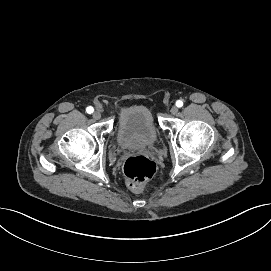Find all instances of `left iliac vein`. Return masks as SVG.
<instances>
[{
	"instance_id": "left-iliac-vein-1",
	"label": "left iliac vein",
	"mask_w": 271,
	"mask_h": 271,
	"mask_svg": "<svg viewBox=\"0 0 271 271\" xmlns=\"http://www.w3.org/2000/svg\"><path fill=\"white\" fill-rule=\"evenodd\" d=\"M178 107L177 106H172L171 108H170V112H171V114L172 115H175V114H177L178 113Z\"/></svg>"
}]
</instances>
